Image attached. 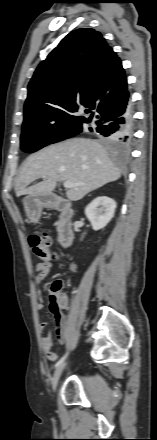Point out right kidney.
I'll use <instances>...</instances> for the list:
<instances>
[{
	"instance_id": "obj_1",
	"label": "right kidney",
	"mask_w": 157,
	"mask_h": 440,
	"mask_svg": "<svg viewBox=\"0 0 157 440\" xmlns=\"http://www.w3.org/2000/svg\"><path fill=\"white\" fill-rule=\"evenodd\" d=\"M116 202L107 196L95 198L85 209V215L93 230L103 229L113 218Z\"/></svg>"
}]
</instances>
